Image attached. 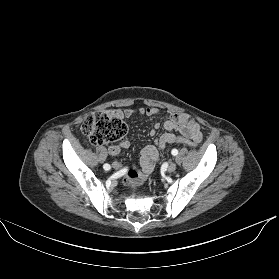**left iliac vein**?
I'll return each mask as SVG.
<instances>
[{
	"mask_svg": "<svg viewBox=\"0 0 279 279\" xmlns=\"http://www.w3.org/2000/svg\"><path fill=\"white\" fill-rule=\"evenodd\" d=\"M176 168H177L176 163L171 162V163L168 165L167 171L171 173V172H174V171L176 170Z\"/></svg>",
	"mask_w": 279,
	"mask_h": 279,
	"instance_id": "1",
	"label": "left iliac vein"
}]
</instances>
